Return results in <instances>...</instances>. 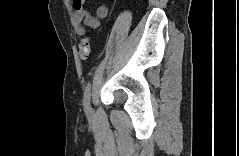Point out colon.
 Segmentation results:
<instances>
[{
	"mask_svg": "<svg viewBox=\"0 0 239 156\" xmlns=\"http://www.w3.org/2000/svg\"><path fill=\"white\" fill-rule=\"evenodd\" d=\"M91 49V38L84 37L81 39L79 44V57L85 61L89 58Z\"/></svg>",
	"mask_w": 239,
	"mask_h": 156,
	"instance_id": "obj_1",
	"label": "colon"
}]
</instances>
